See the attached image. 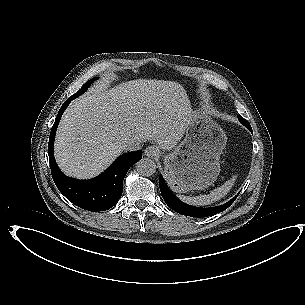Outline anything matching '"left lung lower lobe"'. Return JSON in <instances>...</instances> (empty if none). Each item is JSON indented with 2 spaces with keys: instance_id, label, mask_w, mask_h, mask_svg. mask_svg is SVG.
Segmentation results:
<instances>
[{
  "instance_id": "1",
  "label": "left lung lower lobe",
  "mask_w": 305,
  "mask_h": 305,
  "mask_svg": "<svg viewBox=\"0 0 305 305\" xmlns=\"http://www.w3.org/2000/svg\"><path fill=\"white\" fill-rule=\"evenodd\" d=\"M159 187H160V191H161V195L164 199V201L166 202V204L174 211L178 212L179 211V204L183 203L181 202L172 192L171 190L167 187V185L164 182V179L162 176H160L159 179ZM237 197V196H236ZM236 197H234L232 200H230L229 202L221 205V206H217V207H212V208H205L207 210V216H212L214 214H217L219 212L224 211L225 209H227L236 199ZM185 204V203H184Z\"/></svg>"
}]
</instances>
